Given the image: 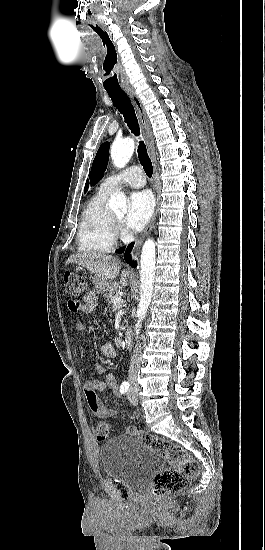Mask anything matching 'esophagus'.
<instances>
[{"instance_id": "1", "label": "esophagus", "mask_w": 265, "mask_h": 550, "mask_svg": "<svg viewBox=\"0 0 265 550\" xmlns=\"http://www.w3.org/2000/svg\"><path fill=\"white\" fill-rule=\"evenodd\" d=\"M127 94L130 97L132 103L134 104V106L136 108L139 124H140L141 130H142V133L144 135V139H145L148 151H149V155L152 159V163H153V186H154V190H155V194H156V209H155V212H154L153 217L151 219V222L148 225V227L144 230V232L140 236V238L136 240L134 249L132 251L133 256H137L139 247L141 246V244L144 241L145 237L152 231V229L154 227V224H155V221H156L157 212H158V203H159V195H158V190H157V175H158V173H157L156 159H155V155H154V151H153L154 139H153V135H152V132H151V128H150V125H149V121H148L144 106L142 105V102L139 99L138 95L135 93V91H133V90L127 91Z\"/></svg>"}]
</instances>
